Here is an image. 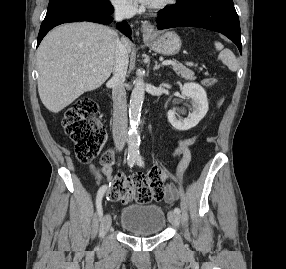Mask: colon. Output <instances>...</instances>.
<instances>
[{"label":"colon","instance_id":"5ec220e1","mask_svg":"<svg viewBox=\"0 0 286 269\" xmlns=\"http://www.w3.org/2000/svg\"><path fill=\"white\" fill-rule=\"evenodd\" d=\"M203 83H218V78H203ZM97 105L91 98H81L64 114L62 126L75 144L79 161L87 163L96 158L106 142V132L96 119ZM102 164L113 163V153L102 155ZM162 170L152 169L148 174L136 173L131 176L117 174L107 191V199L112 202L127 201L131 198L145 203L160 199L165 193Z\"/></svg>","mask_w":286,"mask_h":269}]
</instances>
